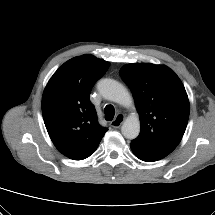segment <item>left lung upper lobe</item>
Instances as JSON below:
<instances>
[{"mask_svg":"<svg viewBox=\"0 0 215 215\" xmlns=\"http://www.w3.org/2000/svg\"><path fill=\"white\" fill-rule=\"evenodd\" d=\"M120 76L131 89L141 130L131 144L166 157L181 141L189 118V100L178 76L168 67L128 64Z\"/></svg>","mask_w":215,"mask_h":215,"instance_id":"1","label":"left lung upper lobe"}]
</instances>
